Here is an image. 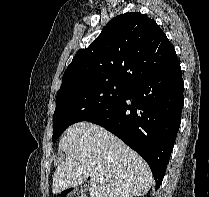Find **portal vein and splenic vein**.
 <instances>
[{
    "label": "portal vein and splenic vein",
    "instance_id": "obj_1",
    "mask_svg": "<svg viewBox=\"0 0 209 197\" xmlns=\"http://www.w3.org/2000/svg\"><path fill=\"white\" fill-rule=\"evenodd\" d=\"M93 171H94V172H97V169H94Z\"/></svg>",
    "mask_w": 209,
    "mask_h": 197
}]
</instances>
